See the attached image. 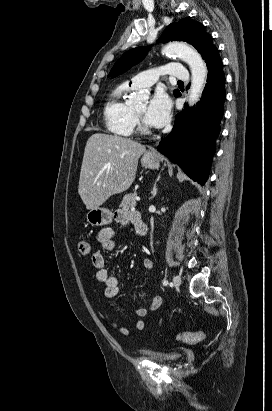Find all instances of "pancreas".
<instances>
[{"mask_svg":"<svg viewBox=\"0 0 272 411\" xmlns=\"http://www.w3.org/2000/svg\"><path fill=\"white\" fill-rule=\"evenodd\" d=\"M136 197H137L136 192L126 194L123 197V200L120 204V207H122L124 209H130L132 207H135L136 206Z\"/></svg>","mask_w":272,"mask_h":411,"instance_id":"cf45deb5","label":"pancreas"}]
</instances>
